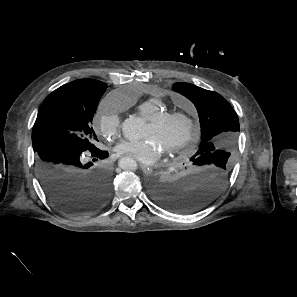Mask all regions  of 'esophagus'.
Wrapping results in <instances>:
<instances>
[{
	"label": "esophagus",
	"instance_id": "esophagus-1",
	"mask_svg": "<svg viewBox=\"0 0 297 297\" xmlns=\"http://www.w3.org/2000/svg\"><path fill=\"white\" fill-rule=\"evenodd\" d=\"M140 167H141V169L143 170L144 173L149 174V173L152 172V169L149 166L145 165V164H140Z\"/></svg>",
	"mask_w": 297,
	"mask_h": 297
}]
</instances>
